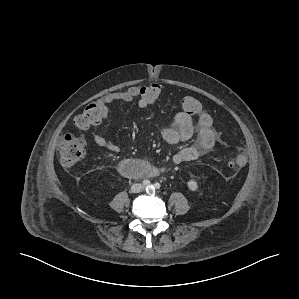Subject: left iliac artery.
Here are the masks:
<instances>
[{
    "instance_id": "44dca946",
    "label": "left iliac artery",
    "mask_w": 299,
    "mask_h": 299,
    "mask_svg": "<svg viewBox=\"0 0 299 299\" xmlns=\"http://www.w3.org/2000/svg\"><path fill=\"white\" fill-rule=\"evenodd\" d=\"M153 187H155L156 189H159L161 187V185L158 182H156Z\"/></svg>"
}]
</instances>
